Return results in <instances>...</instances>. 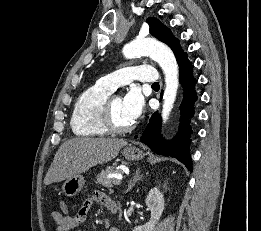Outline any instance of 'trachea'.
<instances>
[{"label":"trachea","mask_w":261,"mask_h":231,"mask_svg":"<svg viewBox=\"0 0 261 231\" xmlns=\"http://www.w3.org/2000/svg\"><path fill=\"white\" fill-rule=\"evenodd\" d=\"M152 86H159V83L155 82V83L152 84Z\"/></svg>","instance_id":"1"}]
</instances>
